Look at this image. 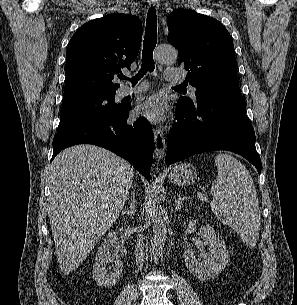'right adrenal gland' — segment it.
Masks as SVG:
<instances>
[{"mask_svg":"<svg viewBox=\"0 0 297 305\" xmlns=\"http://www.w3.org/2000/svg\"><path fill=\"white\" fill-rule=\"evenodd\" d=\"M136 213V201H135V198H134V195H132V198H131V204L129 205V208L125 209L122 211V215H128V216H134Z\"/></svg>","mask_w":297,"mask_h":305,"instance_id":"2a0ac1e0","label":"right adrenal gland"}]
</instances>
